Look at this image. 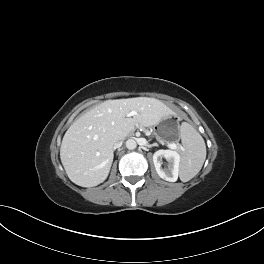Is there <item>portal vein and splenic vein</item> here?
I'll return each mask as SVG.
<instances>
[{
  "label": "portal vein and splenic vein",
  "mask_w": 264,
  "mask_h": 264,
  "mask_svg": "<svg viewBox=\"0 0 264 264\" xmlns=\"http://www.w3.org/2000/svg\"><path fill=\"white\" fill-rule=\"evenodd\" d=\"M136 114L135 111H132L128 114V116H134ZM169 147H171L172 149H176L177 145L175 143H167Z\"/></svg>",
  "instance_id": "portal-vein-and-splenic-vein-1"
}]
</instances>
